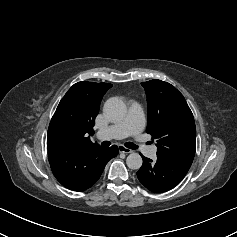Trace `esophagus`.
<instances>
[{"label":"esophagus","mask_w":237,"mask_h":237,"mask_svg":"<svg viewBox=\"0 0 237 237\" xmlns=\"http://www.w3.org/2000/svg\"><path fill=\"white\" fill-rule=\"evenodd\" d=\"M119 152L120 153H125V154H129L132 153L133 151L131 149H128L122 145L119 146Z\"/></svg>","instance_id":"1"}]
</instances>
